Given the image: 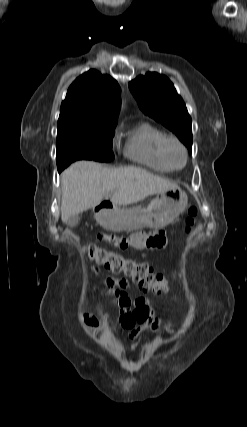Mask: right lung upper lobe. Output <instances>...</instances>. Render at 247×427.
Returning a JSON list of instances; mask_svg holds the SVG:
<instances>
[{"mask_svg": "<svg viewBox=\"0 0 247 427\" xmlns=\"http://www.w3.org/2000/svg\"><path fill=\"white\" fill-rule=\"evenodd\" d=\"M120 87L109 75L90 70L69 87L61 104L60 115H76L83 119L117 124Z\"/></svg>", "mask_w": 247, "mask_h": 427, "instance_id": "obj_1", "label": "right lung upper lobe"}]
</instances>
